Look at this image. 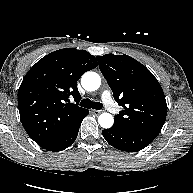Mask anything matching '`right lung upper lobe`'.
Returning a JSON list of instances; mask_svg holds the SVG:
<instances>
[{"label":"right lung upper lobe","mask_w":193,"mask_h":193,"mask_svg":"<svg viewBox=\"0 0 193 193\" xmlns=\"http://www.w3.org/2000/svg\"><path fill=\"white\" fill-rule=\"evenodd\" d=\"M97 65L87 51L65 48L40 59L25 75L18 90L19 113L39 146L51 145L87 111L66 101L80 96L77 81Z\"/></svg>","instance_id":"right-lung-upper-lobe-1"}]
</instances>
